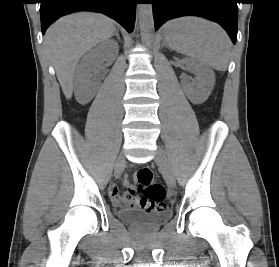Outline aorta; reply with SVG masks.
Here are the masks:
<instances>
[{
    "instance_id": "aorta-1",
    "label": "aorta",
    "mask_w": 279,
    "mask_h": 267,
    "mask_svg": "<svg viewBox=\"0 0 279 267\" xmlns=\"http://www.w3.org/2000/svg\"><path fill=\"white\" fill-rule=\"evenodd\" d=\"M138 19L143 41L150 43L153 40L154 19L151 3L138 4Z\"/></svg>"
}]
</instances>
